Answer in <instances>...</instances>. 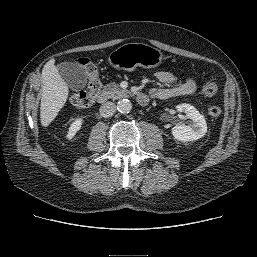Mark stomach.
Returning a JSON list of instances; mask_svg holds the SVG:
<instances>
[{"label":"stomach","instance_id":"1","mask_svg":"<svg viewBox=\"0 0 257 257\" xmlns=\"http://www.w3.org/2000/svg\"><path fill=\"white\" fill-rule=\"evenodd\" d=\"M160 50L143 43H127L109 55L111 66L119 70L133 71L137 67L154 68L162 61Z\"/></svg>","mask_w":257,"mask_h":257}]
</instances>
